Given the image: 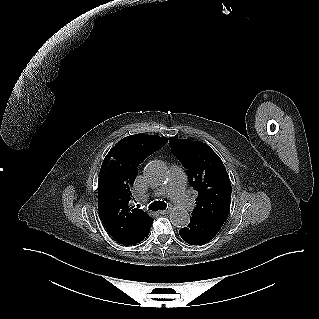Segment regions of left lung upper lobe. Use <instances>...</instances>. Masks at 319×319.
Here are the masks:
<instances>
[{"mask_svg":"<svg viewBox=\"0 0 319 319\" xmlns=\"http://www.w3.org/2000/svg\"><path fill=\"white\" fill-rule=\"evenodd\" d=\"M169 146L187 169L190 185L198 192L192 216L226 220L231 203V182L220 157L200 141L170 138Z\"/></svg>","mask_w":319,"mask_h":319,"instance_id":"obj_1","label":"left lung upper lobe"}]
</instances>
